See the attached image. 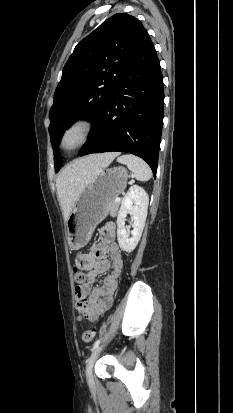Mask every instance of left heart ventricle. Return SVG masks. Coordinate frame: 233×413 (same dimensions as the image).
<instances>
[{
    "label": "left heart ventricle",
    "instance_id": "obj_1",
    "mask_svg": "<svg viewBox=\"0 0 233 413\" xmlns=\"http://www.w3.org/2000/svg\"><path fill=\"white\" fill-rule=\"evenodd\" d=\"M74 140H75V135H70V136L67 138L66 143L69 145V144H71L72 142H74Z\"/></svg>",
    "mask_w": 233,
    "mask_h": 413
}]
</instances>
